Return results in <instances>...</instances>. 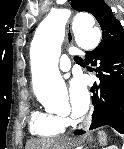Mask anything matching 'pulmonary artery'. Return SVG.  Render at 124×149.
I'll use <instances>...</instances> for the list:
<instances>
[{
  "mask_svg": "<svg viewBox=\"0 0 124 149\" xmlns=\"http://www.w3.org/2000/svg\"><path fill=\"white\" fill-rule=\"evenodd\" d=\"M84 52L82 50H79L75 47H70L68 49V53L66 55H63L60 61V70L65 72L70 69L71 66V58L73 55L75 56H82Z\"/></svg>",
  "mask_w": 124,
  "mask_h": 149,
  "instance_id": "e3ab8cb5",
  "label": "pulmonary artery"
}]
</instances>
